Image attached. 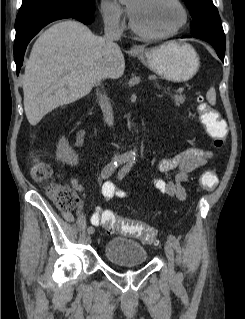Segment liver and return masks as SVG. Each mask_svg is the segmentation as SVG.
Here are the masks:
<instances>
[{
  "label": "liver",
  "instance_id": "obj_1",
  "mask_svg": "<svg viewBox=\"0 0 245 319\" xmlns=\"http://www.w3.org/2000/svg\"><path fill=\"white\" fill-rule=\"evenodd\" d=\"M125 70L120 51L108 52L102 37L75 20L56 23L35 41L24 73V110L35 126L55 108L92 90L97 75L118 79Z\"/></svg>",
  "mask_w": 245,
  "mask_h": 319
}]
</instances>
